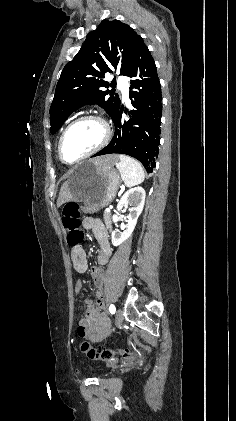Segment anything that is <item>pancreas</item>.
<instances>
[{
    "label": "pancreas",
    "mask_w": 236,
    "mask_h": 421,
    "mask_svg": "<svg viewBox=\"0 0 236 421\" xmlns=\"http://www.w3.org/2000/svg\"><path fill=\"white\" fill-rule=\"evenodd\" d=\"M111 213H104L105 225L110 229L111 221H110Z\"/></svg>",
    "instance_id": "cf45deb5"
}]
</instances>
